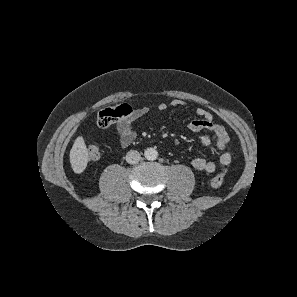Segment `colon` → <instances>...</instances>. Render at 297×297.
<instances>
[{
    "label": "colon",
    "instance_id": "obj_1",
    "mask_svg": "<svg viewBox=\"0 0 297 297\" xmlns=\"http://www.w3.org/2000/svg\"><path fill=\"white\" fill-rule=\"evenodd\" d=\"M133 109L128 104H121L113 107H108L100 111L97 124L100 128L106 129L110 127L115 121L120 118L131 115ZM223 147L222 144H219ZM87 157L91 161H95L100 157V149L97 145L91 144L87 147ZM226 169H221L214 177H212L210 184L213 188H219L225 179Z\"/></svg>",
    "mask_w": 297,
    "mask_h": 297
}]
</instances>
